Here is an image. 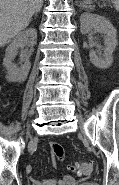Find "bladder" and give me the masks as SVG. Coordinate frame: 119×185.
<instances>
[{"label": "bladder", "mask_w": 119, "mask_h": 185, "mask_svg": "<svg viewBox=\"0 0 119 185\" xmlns=\"http://www.w3.org/2000/svg\"><path fill=\"white\" fill-rule=\"evenodd\" d=\"M78 185H98V184L93 181H85V182H81Z\"/></svg>", "instance_id": "31cf9c89"}]
</instances>
